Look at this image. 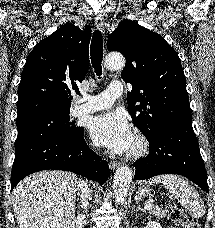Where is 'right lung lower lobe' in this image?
<instances>
[{
    "label": "right lung lower lobe",
    "instance_id": "98d812e1",
    "mask_svg": "<svg viewBox=\"0 0 215 228\" xmlns=\"http://www.w3.org/2000/svg\"><path fill=\"white\" fill-rule=\"evenodd\" d=\"M84 132L77 139L48 137L15 147L11 172V190L29 174L41 170H64L83 175L103 184L109 167L86 144Z\"/></svg>",
    "mask_w": 215,
    "mask_h": 228
}]
</instances>
